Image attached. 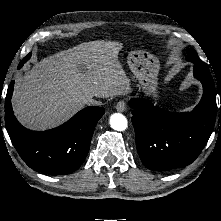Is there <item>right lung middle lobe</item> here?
I'll list each match as a JSON object with an SVG mask.
<instances>
[{
    "instance_id": "right-lung-middle-lobe-1",
    "label": "right lung middle lobe",
    "mask_w": 221,
    "mask_h": 221,
    "mask_svg": "<svg viewBox=\"0 0 221 221\" xmlns=\"http://www.w3.org/2000/svg\"><path fill=\"white\" fill-rule=\"evenodd\" d=\"M31 54H28L19 64L18 68H21L23 64L30 58Z\"/></svg>"
}]
</instances>
